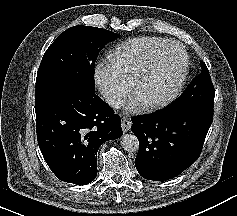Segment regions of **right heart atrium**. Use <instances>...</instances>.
<instances>
[{"label": "right heart atrium", "instance_id": "d8ad5b80", "mask_svg": "<svg viewBox=\"0 0 237 216\" xmlns=\"http://www.w3.org/2000/svg\"><path fill=\"white\" fill-rule=\"evenodd\" d=\"M93 82L101 88V93L112 103H121L127 96V88L115 82L112 75L104 68H97L93 71Z\"/></svg>", "mask_w": 237, "mask_h": 216}]
</instances>
